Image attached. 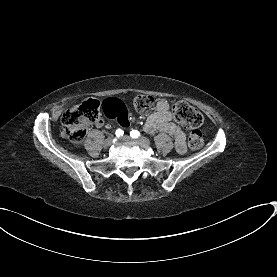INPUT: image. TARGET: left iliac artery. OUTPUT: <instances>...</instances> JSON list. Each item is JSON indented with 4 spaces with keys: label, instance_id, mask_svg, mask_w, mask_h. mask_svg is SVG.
Segmentation results:
<instances>
[{
    "label": "left iliac artery",
    "instance_id": "1",
    "mask_svg": "<svg viewBox=\"0 0 277 277\" xmlns=\"http://www.w3.org/2000/svg\"><path fill=\"white\" fill-rule=\"evenodd\" d=\"M130 136H131L132 138H138V137L140 136V132L137 131V130H132V131L130 132Z\"/></svg>",
    "mask_w": 277,
    "mask_h": 277
}]
</instances>
